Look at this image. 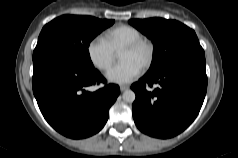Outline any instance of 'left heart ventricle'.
Here are the masks:
<instances>
[{
  "label": "left heart ventricle",
  "instance_id": "1",
  "mask_svg": "<svg viewBox=\"0 0 238 158\" xmlns=\"http://www.w3.org/2000/svg\"><path fill=\"white\" fill-rule=\"evenodd\" d=\"M147 57L148 49L145 46H141L140 48L133 51H121L119 54L121 61H132L140 67H142Z\"/></svg>",
  "mask_w": 238,
  "mask_h": 158
}]
</instances>
